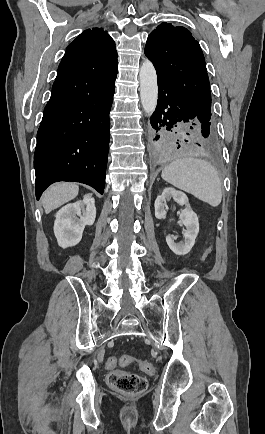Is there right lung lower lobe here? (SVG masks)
I'll list each match as a JSON object with an SVG mask.
<instances>
[{"label":"right lung lower lobe","mask_w":265,"mask_h":434,"mask_svg":"<svg viewBox=\"0 0 265 434\" xmlns=\"http://www.w3.org/2000/svg\"><path fill=\"white\" fill-rule=\"evenodd\" d=\"M117 64V52H65L37 132V199L62 180L103 194Z\"/></svg>","instance_id":"right-lung-lower-lobe-1"}]
</instances>
